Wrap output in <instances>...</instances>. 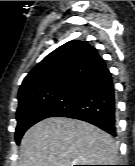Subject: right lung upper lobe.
<instances>
[{"label":"right lung upper lobe","instance_id":"1","mask_svg":"<svg viewBox=\"0 0 135 166\" xmlns=\"http://www.w3.org/2000/svg\"><path fill=\"white\" fill-rule=\"evenodd\" d=\"M104 64L97 50L89 43L69 41L47 55L25 77L18 93L19 105L71 86Z\"/></svg>","mask_w":135,"mask_h":166}]
</instances>
